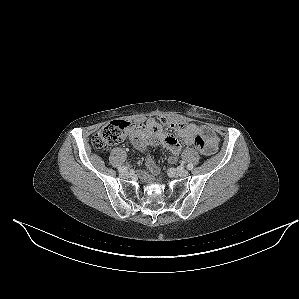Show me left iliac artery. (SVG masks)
I'll use <instances>...</instances> for the list:
<instances>
[{"label": "left iliac artery", "instance_id": "44dca946", "mask_svg": "<svg viewBox=\"0 0 299 299\" xmlns=\"http://www.w3.org/2000/svg\"><path fill=\"white\" fill-rule=\"evenodd\" d=\"M187 169H188V170H192V169H193V164H192V163H189V164L187 165Z\"/></svg>", "mask_w": 299, "mask_h": 299}]
</instances>
